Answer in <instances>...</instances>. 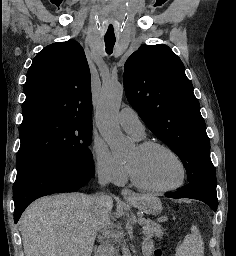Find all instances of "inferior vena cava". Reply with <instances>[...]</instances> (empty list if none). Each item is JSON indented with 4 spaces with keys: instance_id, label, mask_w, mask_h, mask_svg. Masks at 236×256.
<instances>
[{
    "instance_id": "inferior-vena-cava-1",
    "label": "inferior vena cava",
    "mask_w": 236,
    "mask_h": 256,
    "mask_svg": "<svg viewBox=\"0 0 236 256\" xmlns=\"http://www.w3.org/2000/svg\"><path fill=\"white\" fill-rule=\"evenodd\" d=\"M97 178L100 186H106V184H109L112 180V172L109 168H106V166H98ZM92 200L95 208H100V212H106L111 202V198H109V196H104V194H98V196H95ZM99 232H103V236H107V228H105V226H103Z\"/></svg>"
}]
</instances>
